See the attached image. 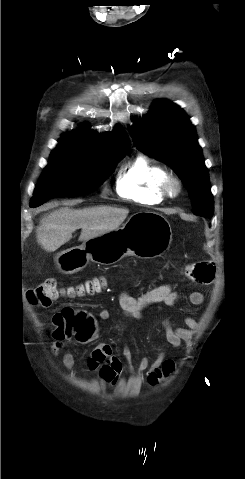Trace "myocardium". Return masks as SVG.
Returning <instances> with one entry per match:
<instances>
[{"label": "myocardium", "instance_id": "f54148a6", "mask_svg": "<svg viewBox=\"0 0 245 479\" xmlns=\"http://www.w3.org/2000/svg\"><path fill=\"white\" fill-rule=\"evenodd\" d=\"M161 190L164 197L175 199L182 191L181 180L172 174H167L161 184Z\"/></svg>", "mask_w": 245, "mask_h": 479}]
</instances>
